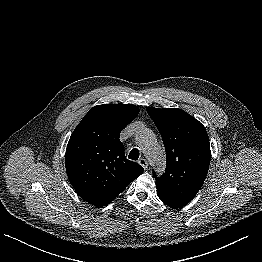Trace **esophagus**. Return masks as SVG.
Here are the masks:
<instances>
[{
    "mask_svg": "<svg viewBox=\"0 0 262 262\" xmlns=\"http://www.w3.org/2000/svg\"><path fill=\"white\" fill-rule=\"evenodd\" d=\"M138 163L144 168L147 169L148 168V161L146 159L141 158Z\"/></svg>",
    "mask_w": 262,
    "mask_h": 262,
    "instance_id": "34e87169",
    "label": "esophagus"
}]
</instances>
